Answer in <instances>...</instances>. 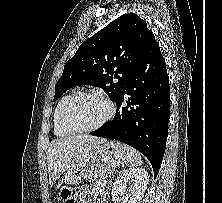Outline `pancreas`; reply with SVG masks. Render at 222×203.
<instances>
[{"instance_id":"cf45deb5","label":"pancreas","mask_w":222,"mask_h":203,"mask_svg":"<svg viewBox=\"0 0 222 203\" xmlns=\"http://www.w3.org/2000/svg\"><path fill=\"white\" fill-rule=\"evenodd\" d=\"M114 162L115 161L113 160H107L98 164L97 167L88 175V180L94 181L109 178L115 170V166L113 165Z\"/></svg>"}]
</instances>
